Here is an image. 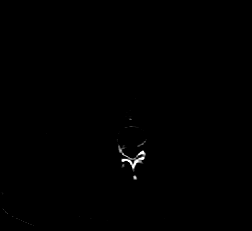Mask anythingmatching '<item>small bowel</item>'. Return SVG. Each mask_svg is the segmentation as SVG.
<instances>
[{"label":"small bowel","instance_id":"c3829d8e","mask_svg":"<svg viewBox=\"0 0 252 231\" xmlns=\"http://www.w3.org/2000/svg\"><path fill=\"white\" fill-rule=\"evenodd\" d=\"M180 107L184 110H188L193 113H200L202 111V107L200 105H190L187 102L180 100Z\"/></svg>","mask_w":252,"mask_h":231}]
</instances>
